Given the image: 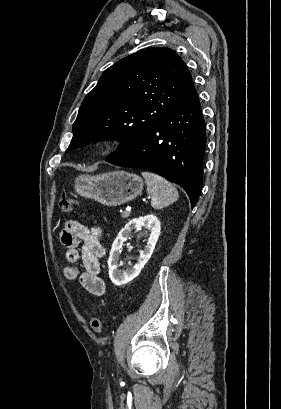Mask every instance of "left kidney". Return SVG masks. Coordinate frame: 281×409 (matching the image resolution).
<instances>
[{"label": "left kidney", "instance_id": "5707ae66", "mask_svg": "<svg viewBox=\"0 0 281 409\" xmlns=\"http://www.w3.org/2000/svg\"><path fill=\"white\" fill-rule=\"evenodd\" d=\"M141 227H145L148 229L147 235L149 237L145 249L140 251V255L137 259V263H135L134 267H130V269H126V271H119V255L121 253V249L123 247V243L127 241L130 233H132L133 229H141ZM161 231V223L155 215H146V217H138V219H132L129 221L121 231L118 233V237H116L110 251L108 263L109 269V277L117 287H121V285H126V283H130L133 281L135 277H138L141 269H143L144 265H146L148 259H150L155 245L158 241V237Z\"/></svg>", "mask_w": 281, "mask_h": 409}]
</instances>
